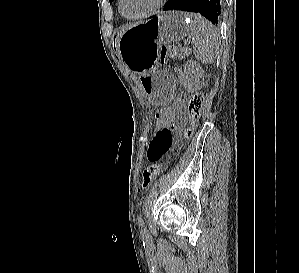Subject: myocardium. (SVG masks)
Here are the masks:
<instances>
[{
	"mask_svg": "<svg viewBox=\"0 0 299 273\" xmlns=\"http://www.w3.org/2000/svg\"><path fill=\"white\" fill-rule=\"evenodd\" d=\"M122 1L123 0H118V10L119 13L126 19L128 20H139V19H143V18H147L153 14H155L158 10H160L163 5L165 4V2L167 0H157V2L145 13L141 14V15H137V16H127L124 14L123 9H122Z\"/></svg>",
	"mask_w": 299,
	"mask_h": 273,
	"instance_id": "obj_1",
	"label": "myocardium"
}]
</instances>
